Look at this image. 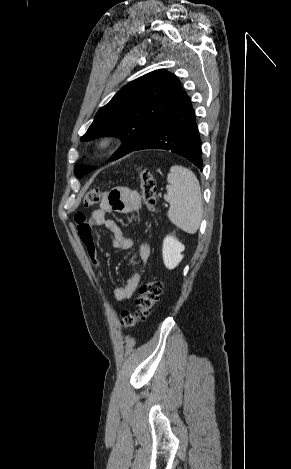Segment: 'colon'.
Masks as SVG:
<instances>
[{
	"label": "colon",
	"instance_id": "1",
	"mask_svg": "<svg viewBox=\"0 0 291 469\" xmlns=\"http://www.w3.org/2000/svg\"><path fill=\"white\" fill-rule=\"evenodd\" d=\"M137 175L143 203L150 212H153L156 205V181L151 172L146 168H138ZM101 197V190L99 188H92L86 192L83 203L86 207L94 206L100 202ZM82 233L86 234V230L82 229ZM162 291L163 285L160 281L152 278L142 281L139 286V295L136 299V310L134 312L129 310L122 311L120 317L121 326L129 329L144 322L159 301Z\"/></svg>",
	"mask_w": 291,
	"mask_h": 469
}]
</instances>
